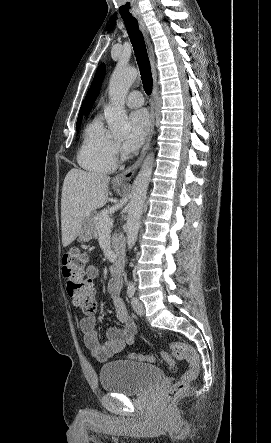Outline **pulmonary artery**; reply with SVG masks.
Here are the masks:
<instances>
[{"label":"pulmonary artery","instance_id":"pulmonary-artery-1","mask_svg":"<svg viewBox=\"0 0 271 443\" xmlns=\"http://www.w3.org/2000/svg\"><path fill=\"white\" fill-rule=\"evenodd\" d=\"M127 106L132 108L140 107L144 104V97L139 91H131L124 99Z\"/></svg>","mask_w":271,"mask_h":443}]
</instances>
